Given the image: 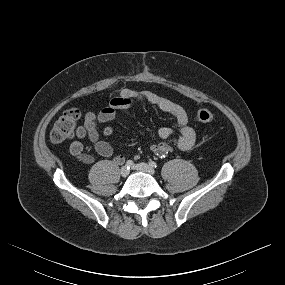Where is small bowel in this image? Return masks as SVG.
<instances>
[{
  "label": "small bowel",
  "mask_w": 285,
  "mask_h": 285,
  "mask_svg": "<svg viewBox=\"0 0 285 285\" xmlns=\"http://www.w3.org/2000/svg\"><path fill=\"white\" fill-rule=\"evenodd\" d=\"M136 100L147 101L174 118L179 128V136L175 143L176 149L188 151L194 146L196 133L189 125L188 114L181 105L149 90L139 91L125 88L122 89L117 96L113 97L108 105L98 113H86L84 123L78 126L75 131V139L70 144V153L82 163H93L95 161L94 156L84 150V145L82 143L84 138H88L99 155L111 157L113 155V149L108 142L100 138L97 125L99 123L103 124L111 122L115 119L118 110L132 107ZM174 133L175 131L170 127H161L157 134L163 141L152 145L151 150L159 156H166L172 151V146L166 142V140L172 137ZM112 134V126L106 125L103 129V135L109 137ZM114 162L116 164H122L124 162V157L122 155H117L114 157Z\"/></svg>",
  "instance_id": "small-bowel-1"
}]
</instances>
